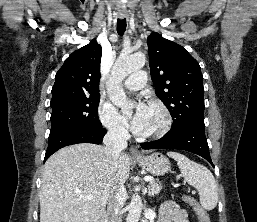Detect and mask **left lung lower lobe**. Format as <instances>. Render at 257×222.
Returning a JSON list of instances; mask_svg holds the SVG:
<instances>
[{
    "mask_svg": "<svg viewBox=\"0 0 257 222\" xmlns=\"http://www.w3.org/2000/svg\"><path fill=\"white\" fill-rule=\"evenodd\" d=\"M143 149H181L205 158L213 167L205 137V125L189 124L171 129L161 139L141 143Z\"/></svg>",
    "mask_w": 257,
    "mask_h": 222,
    "instance_id": "obj_1",
    "label": "left lung lower lobe"
}]
</instances>
